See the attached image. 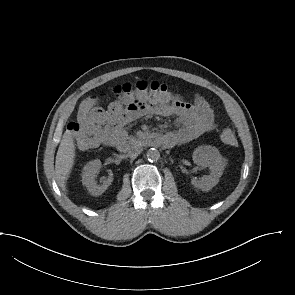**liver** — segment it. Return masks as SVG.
<instances>
[{
  "mask_svg": "<svg viewBox=\"0 0 295 295\" xmlns=\"http://www.w3.org/2000/svg\"><path fill=\"white\" fill-rule=\"evenodd\" d=\"M74 158L75 144L70 131H66L59 145L55 162L57 183L63 191H66V181L74 165Z\"/></svg>",
  "mask_w": 295,
  "mask_h": 295,
  "instance_id": "liver-1",
  "label": "liver"
}]
</instances>
